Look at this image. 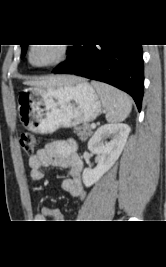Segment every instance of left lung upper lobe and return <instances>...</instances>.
Returning <instances> with one entry per match:
<instances>
[{"instance_id": "obj_1", "label": "left lung upper lobe", "mask_w": 166, "mask_h": 267, "mask_svg": "<svg viewBox=\"0 0 166 267\" xmlns=\"http://www.w3.org/2000/svg\"><path fill=\"white\" fill-rule=\"evenodd\" d=\"M22 51H21V57H24L27 51V45H21Z\"/></svg>"}]
</instances>
